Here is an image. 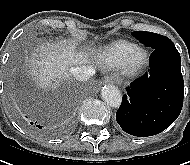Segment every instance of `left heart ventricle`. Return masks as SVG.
I'll use <instances>...</instances> for the list:
<instances>
[{
  "instance_id": "b2bd125f",
  "label": "left heart ventricle",
  "mask_w": 190,
  "mask_h": 165,
  "mask_svg": "<svg viewBox=\"0 0 190 165\" xmlns=\"http://www.w3.org/2000/svg\"><path fill=\"white\" fill-rule=\"evenodd\" d=\"M142 59H143V57H142V55H141V54H140V55H138V56L136 57V61H137V62H140Z\"/></svg>"
}]
</instances>
